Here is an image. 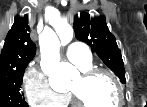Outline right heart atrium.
Returning a JSON list of instances; mask_svg holds the SVG:
<instances>
[{"label": "right heart atrium", "instance_id": "1", "mask_svg": "<svg viewBox=\"0 0 147 107\" xmlns=\"http://www.w3.org/2000/svg\"><path fill=\"white\" fill-rule=\"evenodd\" d=\"M23 86L31 106L60 107L68 100L67 94H60L52 89L45 73L34 64L25 72Z\"/></svg>", "mask_w": 147, "mask_h": 107}]
</instances>
